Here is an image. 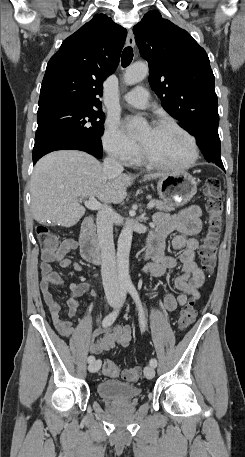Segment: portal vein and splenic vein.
I'll return each mask as SVG.
<instances>
[{"instance_id": "18ae733b", "label": "portal vein and splenic vein", "mask_w": 245, "mask_h": 457, "mask_svg": "<svg viewBox=\"0 0 245 457\" xmlns=\"http://www.w3.org/2000/svg\"><path fill=\"white\" fill-rule=\"evenodd\" d=\"M84 204L87 208H91V210H98V208H102L103 206L99 200H96L95 196H89V200H85ZM154 204L155 202H148L147 208H152Z\"/></svg>"}]
</instances>
